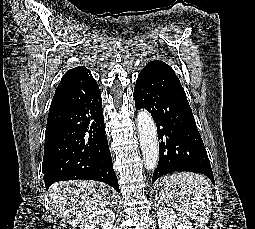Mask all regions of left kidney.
<instances>
[{"mask_svg":"<svg viewBox=\"0 0 255 229\" xmlns=\"http://www.w3.org/2000/svg\"><path fill=\"white\" fill-rule=\"evenodd\" d=\"M158 225L160 229H194L192 223L183 214L174 212L172 209L160 207L157 211Z\"/></svg>","mask_w":255,"mask_h":229,"instance_id":"1","label":"left kidney"}]
</instances>
